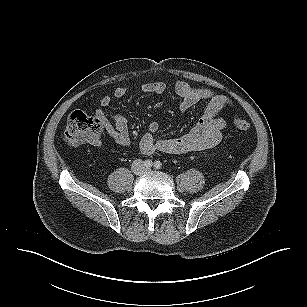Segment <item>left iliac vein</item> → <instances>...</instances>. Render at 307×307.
<instances>
[{
  "label": "left iliac vein",
  "instance_id": "obj_1",
  "mask_svg": "<svg viewBox=\"0 0 307 307\" xmlns=\"http://www.w3.org/2000/svg\"><path fill=\"white\" fill-rule=\"evenodd\" d=\"M146 171H150V169H146Z\"/></svg>",
  "mask_w": 307,
  "mask_h": 307
}]
</instances>
